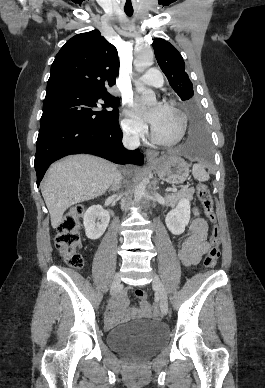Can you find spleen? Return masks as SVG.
I'll use <instances>...</instances> for the list:
<instances>
[{"label":"spleen","instance_id":"3e777b00","mask_svg":"<svg viewBox=\"0 0 265 388\" xmlns=\"http://www.w3.org/2000/svg\"><path fill=\"white\" fill-rule=\"evenodd\" d=\"M192 174L199 182H206L209 178L208 174H206L205 170L199 164H193Z\"/></svg>","mask_w":265,"mask_h":388}]
</instances>
